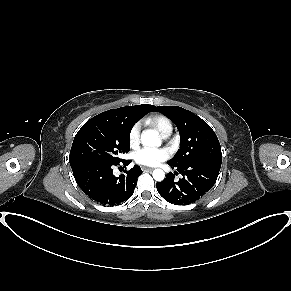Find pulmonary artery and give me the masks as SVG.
<instances>
[{
    "instance_id": "1",
    "label": "pulmonary artery",
    "mask_w": 291,
    "mask_h": 291,
    "mask_svg": "<svg viewBox=\"0 0 291 291\" xmlns=\"http://www.w3.org/2000/svg\"><path fill=\"white\" fill-rule=\"evenodd\" d=\"M170 134H171V131H167L166 133L163 134V137L167 138L170 136Z\"/></svg>"
}]
</instances>
